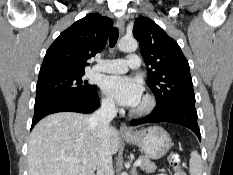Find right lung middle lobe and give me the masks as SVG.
Listing matches in <instances>:
<instances>
[{"instance_id":"1","label":"right lung middle lobe","mask_w":233,"mask_h":175,"mask_svg":"<svg viewBox=\"0 0 233 175\" xmlns=\"http://www.w3.org/2000/svg\"><path fill=\"white\" fill-rule=\"evenodd\" d=\"M84 73L56 74L38 78L35 102L50 97H86L95 93V85H89L82 79Z\"/></svg>"}]
</instances>
